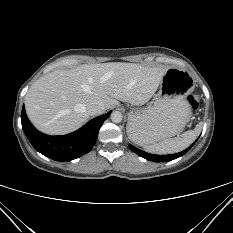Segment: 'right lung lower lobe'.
I'll return each mask as SVG.
<instances>
[{"instance_id": "right-lung-lower-lobe-1", "label": "right lung lower lobe", "mask_w": 233, "mask_h": 233, "mask_svg": "<svg viewBox=\"0 0 233 233\" xmlns=\"http://www.w3.org/2000/svg\"><path fill=\"white\" fill-rule=\"evenodd\" d=\"M110 113L98 116L79 130L62 136H49L38 131L27 118L24 107L21 122L26 137L38 152L56 161H71L92 149L101 125Z\"/></svg>"}]
</instances>
